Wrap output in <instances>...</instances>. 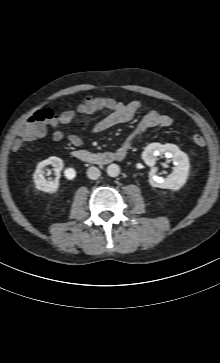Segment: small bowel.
Listing matches in <instances>:
<instances>
[{
	"mask_svg": "<svg viewBox=\"0 0 220 363\" xmlns=\"http://www.w3.org/2000/svg\"><path fill=\"white\" fill-rule=\"evenodd\" d=\"M141 108L142 104L138 100L121 102L107 97L87 98L78 105L76 110H66L50 123V126L54 129L53 139L55 141L67 139L73 147L80 149L83 144L81 138L75 134L66 136L60 129L61 126L73 122L79 115L91 116L105 110L107 115L93 123L90 128L93 133H101L114 126L131 121ZM172 123L173 119L166 114L156 110L145 112L123 148L128 149L146 131L167 128Z\"/></svg>",
	"mask_w": 220,
	"mask_h": 363,
	"instance_id": "1",
	"label": "small bowel"
}]
</instances>
